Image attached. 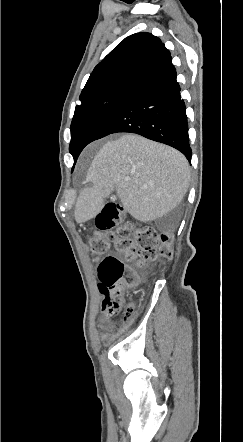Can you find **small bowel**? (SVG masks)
<instances>
[{
  "instance_id": "c3829d8e",
  "label": "small bowel",
  "mask_w": 243,
  "mask_h": 442,
  "mask_svg": "<svg viewBox=\"0 0 243 442\" xmlns=\"http://www.w3.org/2000/svg\"><path fill=\"white\" fill-rule=\"evenodd\" d=\"M102 314H103V317H102V320L100 323V327H101V329L106 331L107 334H111L112 333L111 318L113 317V313L110 311L109 308L104 307Z\"/></svg>"
}]
</instances>
